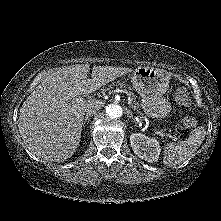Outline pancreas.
<instances>
[{
	"instance_id": "pancreas-1",
	"label": "pancreas",
	"mask_w": 221,
	"mask_h": 221,
	"mask_svg": "<svg viewBox=\"0 0 221 221\" xmlns=\"http://www.w3.org/2000/svg\"><path fill=\"white\" fill-rule=\"evenodd\" d=\"M114 86H116L117 88H125L126 90H128L129 95L131 96V100L133 102V109L137 111L138 114L142 115V113L140 112V104L136 101L137 96L133 93L131 86L126 81H117L116 83H112V85H109L105 89H102V91H110L111 89H113Z\"/></svg>"
}]
</instances>
